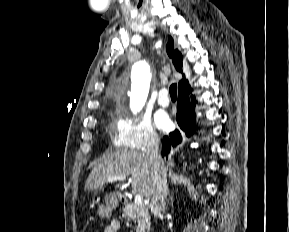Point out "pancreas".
<instances>
[{
    "label": "pancreas",
    "instance_id": "1",
    "mask_svg": "<svg viewBox=\"0 0 289 232\" xmlns=\"http://www.w3.org/2000/svg\"><path fill=\"white\" fill-rule=\"evenodd\" d=\"M123 217L132 219L136 225V232L150 231V216L147 207L143 204L127 203L123 208Z\"/></svg>",
    "mask_w": 289,
    "mask_h": 232
}]
</instances>
